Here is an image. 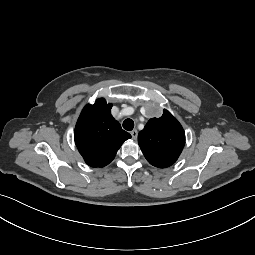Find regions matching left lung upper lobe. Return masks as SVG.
<instances>
[{
    "label": "left lung upper lobe",
    "instance_id": "obj_1",
    "mask_svg": "<svg viewBox=\"0 0 255 255\" xmlns=\"http://www.w3.org/2000/svg\"><path fill=\"white\" fill-rule=\"evenodd\" d=\"M138 144L147 161L158 168L176 162L185 145L181 124L164 109L160 118H151L138 134Z\"/></svg>",
    "mask_w": 255,
    "mask_h": 255
}]
</instances>
